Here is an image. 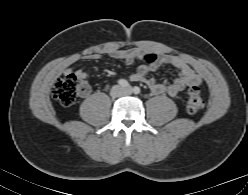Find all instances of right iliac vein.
Returning <instances> with one entry per match:
<instances>
[{"label": "right iliac vein", "mask_w": 248, "mask_h": 195, "mask_svg": "<svg viewBox=\"0 0 248 195\" xmlns=\"http://www.w3.org/2000/svg\"><path fill=\"white\" fill-rule=\"evenodd\" d=\"M122 94V89L119 86H114L111 89V95L112 96H120Z\"/></svg>", "instance_id": "obj_1"}]
</instances>
